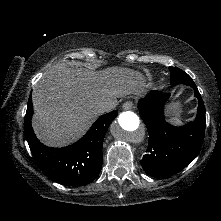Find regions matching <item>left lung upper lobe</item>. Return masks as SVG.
Segmentation results:
<instances>
[{"instance_id": "1", "label": "left lung upper lobe", "mask_w": 221, "mask_h": 221, "mask_svg": "<svg viewBox=\"0 0 221 221\" xmlns=\"http://www.w3.org/2000/svg\"><path fill=\"white\" fill-rule=\"evenodd\" d=\"M171 71V84H185L188 85L189 82H192V78L185 73L183 70L177 67H169Z\"/></svg>"}]
</instances>
